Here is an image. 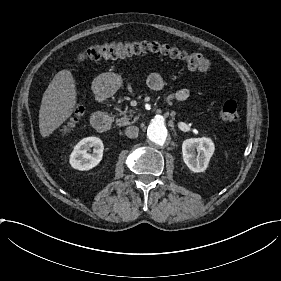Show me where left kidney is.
Segmentation results:
<instances>
[{
	"instance_id": "obj_1",
	"label": "left kidney",
	"mask_w": 281,
	"mask_h": 281,
	"mask_svg": "<svg viewBox=\"0 0 281 281\" xmlns=\"http://www.w3.org/2000/svg\"><path fill=\"white\" fill-rule=\"evenodd\" d=\"M195 149L198 155L195 154ZM215 150L213 141L210 138H190L182 144L183 160L187 167L193 172H204L209 164Z\"/></svg>"
}]
</instances>
